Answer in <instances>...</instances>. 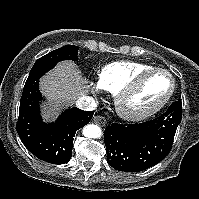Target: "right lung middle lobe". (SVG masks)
I'll return each instance as SVG.
<instances>
[{
	"instance_id": "dd1d6c3e",
	"label": "right lung middle lobe",
	"mask_w": 199,
	"mask_h": 199,
	"mask_svg": "<svg viewBox=\"0 0 199 199\" xmlns=\"http://www.w3.org/2000/svg\"><path fill=\"white\" fill-rule=\"evenodd\" d=\"M77 50L78 48L74 45L63 46L39 58L33 67L46 63H58L59 61L67 59L78 61Z\"/></svg>"
}]
</instances>
